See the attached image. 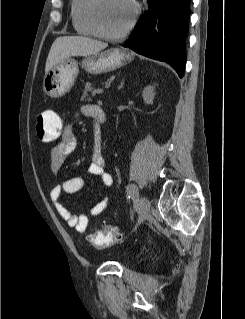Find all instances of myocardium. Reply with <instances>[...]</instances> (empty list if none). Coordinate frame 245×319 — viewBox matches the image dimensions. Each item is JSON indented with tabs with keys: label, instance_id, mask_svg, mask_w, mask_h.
I'll list each match as a JSON object with an SVG mask.
<instances>
[{
	"label": "myocardium",
	"instance_id": "obj_1",
	"mask_svg": "<svg viewBox=\"0 0 245 319\" xmlns=\"http://www.w3.org/2000/svg\"><path fill=\"white\" fill-rule=\"evenodd\" d=\"M101 2L102 0H90V4L88 6L89 20L92 27L95 30L96 35L109 40H118L125 37L127 34H129L130 31L135 26L140 13V7L138 3L135 0H128V2L133 7V15L130 22L127 24V26L123 30L117 33H111L103 29L99 20V10H100Z\"/></svg>",
	"mask_w": 245,
	"mask_h": 319
}]
</instances>
